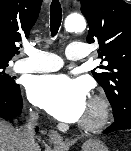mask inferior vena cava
<instances>
[{"label":"inferior vena cava","mask_w":131,"mask_h":151,"mask_svg":"<svg viewBox=\"0 0 131 151\" xmlns=\"http://www.w3.org/2000/svg\"><path fill=\"white\" fill-rule=\"evenodd\" d=\"M36 122L37 117L32 114L28 122L16 130L22 151H38V146L34 139V126Z\"/></svg>","instance_id":"1"}]
</instances>
